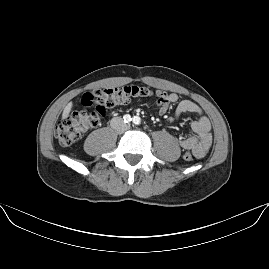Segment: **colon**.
<instances>
[{
  "label": "colon",
  "instance_id": "5ec220e1",
  "mask_svg": "<svg viewBox=\"0 0 269 269\" xmlns=\"http://www.w3.org/2000/svg\"><path fill=\"white\" fill-rule=\"evenodd\" d=\"M152 90L146 86L124 85L107 89H86L83 94V111L73 112L62 118L55 127V136L60 144L70 146L83 134L98 126L107 109L126 104L135 97H150ZM186 161L194 160V155L186 151Z\"/></svg>",
  "mask_w": 269,
  "mask_h": 269
}]
</instances>
